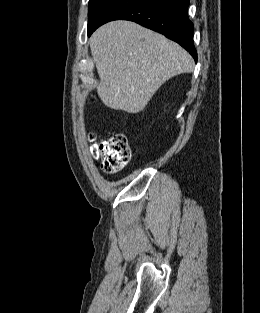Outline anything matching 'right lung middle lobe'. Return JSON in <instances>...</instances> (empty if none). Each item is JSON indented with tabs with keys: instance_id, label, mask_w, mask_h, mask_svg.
Wrapping results in <instances>:
<instances>
[{
	"instance_id": "1",
	"label": "right lung middle lobe",
	"mask_w": 260,
	"mask_h": 313,
	"mask_svg": "<svg viewBox=\"0 0 260 313\" xmlns=\"http://www.w3.org/2000/svg\"><path fill=\"white\" fill-rule=\"evenodd\" d=\"M118 0H90L88 11V27L89 32L104 15V13Z\"/></svg>"
}]
</instances>
